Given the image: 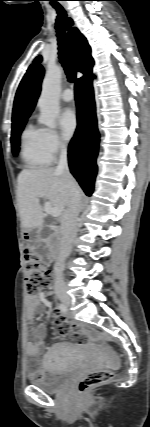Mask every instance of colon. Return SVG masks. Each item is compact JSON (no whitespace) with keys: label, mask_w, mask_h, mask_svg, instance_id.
<instances>
[{"label":"colon","mask_w":150,"mask_h":427,"mask_svg":"<svg viewBox=\"0 0 150 427\" xmlns=\"http://www.w3.org/2000/svg\"><path fill=\"white\" fill-rule=\"evenodd\" d=\"M25 290L29 296H36L40 292L50 288L53 281L52 271L44 265L37 255H35L29 246L25 252ZM113 377L110 370H98L87 374L78 383V392L85 394L92 388L102 385Z\"/></svg>","instance_id":"1"}]
</instances>
